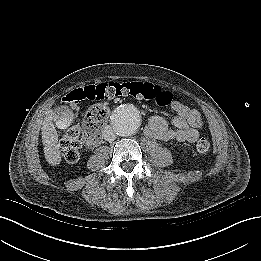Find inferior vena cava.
Returning a JSON list of instances; mask_svg holds the SVG:
<instances>
[{"label": "inferior vena cava", "instance_id": "1", "mask_svg": "<svg viewBox=\"0 0 261 261\" xmlns=\"http://www.w3.org/2000/svg\"><path fill=\"white\" fill-rule=\"evenodd\" d=\"M102 135L106 141H114L116 139V134L111 126H106L102 132Z\"/></svg>", "mask_w": 261, "mask_h": 261}]
</instances>
